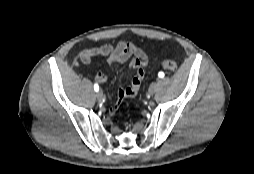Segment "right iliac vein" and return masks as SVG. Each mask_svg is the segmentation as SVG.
<instances>
[{
    "label": "right iliac vein",
    "mask_w": 254,
    "mask_h": 174,
    "mask_svg": "<svg viewBox=\"0 0 254 174\" xmlns=\"http://www.w3.org/2000/svg\"><path fill=\"white\" fill-rule=\"evenodd\" d=\"M96 98H97L98 100H101V99L103 98V93H102L101 91H98V92L96 93Z\"/></svg>",
    "instance_id": "1"
}]
</instances>
